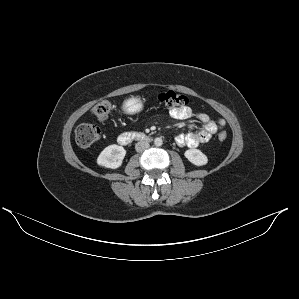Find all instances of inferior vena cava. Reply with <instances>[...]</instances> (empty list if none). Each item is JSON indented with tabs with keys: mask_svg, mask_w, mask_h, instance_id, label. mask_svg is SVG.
I'll use <instances>...</instances> for the list:
<instances>
[{
	"mask_svg": "<svg viewBox=\"0 0 299 299\" xmlns=\"http://www.w3.org/2000/svg\"><path fill=\"white\" fill-rule=\"evenodd\" d=\"M149 143L146 142V141H139L136 143L135 145V149L137 152H142V151H145L146 149L149 148Z\"/></svg>",
	"mask_w": 299,
	"mask_h": 299,
	"instance_id": "602c4592",
	"label": "inferior vena cava"
}]
</instances>
